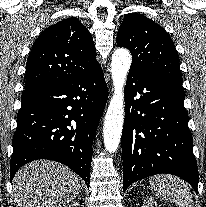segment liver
I'll use <instances>...</instances> for the list:
<instances>
[{"instance_id":"obj_1","label":"liver","mask_w":206,"mask_h":207,"mask_svg":"<svg viewBox=\"0 0 206 207\" xmlns=\"http://www.w3.org/2000/svg\"><path fill=\"white\" fill-rule=\"evenodd\" d=\"M79 178L57 162L39 160L22 167L13 179L17 207H63L80 191Z\"/></svg>"}]
</instances>
